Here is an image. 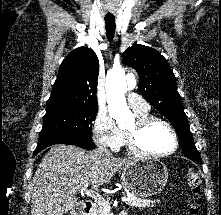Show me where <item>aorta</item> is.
<instances>
[{
  "mask_svg": "<svg viewBox=\"0 0 221 215\" xmlns=\"http://www.w3.org/2000/svg\"><path fill=\"white\" fill-rule=\"evenodd\" d=\"M136 85L132 77L127 84L124 70L112 71L106 78V94L110 116L116 120L119 125L130 123L134 120L126 103L125 93L129 88Z\"/></svg>",
  "mask_w": 221,
  "mask_h": 215,
  "instance_id": "obj_1",
  "label": "aorta"
}]
</instances>
